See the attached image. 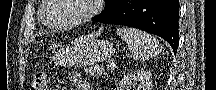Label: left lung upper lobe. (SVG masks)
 <instances>
[{
  "instance_id": "left-lung-upper-lobe-1",
  "label": "left lung upper lobe",
  "mask_w": 216,
  "mask_h": 90,
  "mask_svg": "<svg viewBox=\"0 0 216 90\" xmlns=\"http://www.w3.org/2000/svg\"><path fill=\"white\" fill-rule=\"evenodd\" d=\"M119 2H120V0H105V3L107 4V7H106L105 10L112 9V8L115 7Z\"/></svg>"
}]
</instances>
